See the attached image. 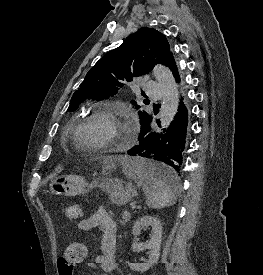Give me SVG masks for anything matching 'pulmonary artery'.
Returning a JSON list of instances; mask_svg holds the SVG:
<instances>
[{
  "instance_id": "pulmonary-artery-1",
  "label": "pulmonary artery",
  "mask_w": 263,
  "mask_h": 275,
  "mask_svg": "<svg viewBox=\"0 0 263 275\" xmlns=\"http://www.w3.org/2000/svg\"><path fill=\"white\" fill-rule=\"evenodd\" d=\"M146 93L155 99H159L161 97V88L159 84L154 81H149L145 84Z\"/></svg>"
}]
</instances>
